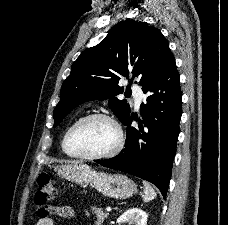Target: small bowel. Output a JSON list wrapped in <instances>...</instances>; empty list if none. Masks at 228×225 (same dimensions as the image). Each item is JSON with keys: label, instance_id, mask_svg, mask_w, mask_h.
Here are the masks:
<instances>
[{"label": "small bowel", "instance_id": "small-bowel-1", "mask_svg": "<svg viewBox=\"0 0 228 225\" xmlns=\"http://www.w3.org/2000/svg\"><path fill=\"white\" fill-rule=\"evenodd\" d=\"M52 207L54 208V214L60 218L70 219L74 217V211L71 207L65 205H59L53 203ZM43 211L40 212V219L36 222V225H54L53 217L49 216L48 209L50 208L49 204L42 205Z\"/></svg>", "mask_w": 228, "mask_h": 225}]
</instances>
